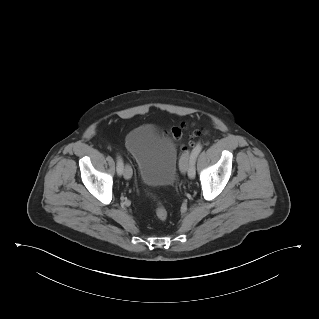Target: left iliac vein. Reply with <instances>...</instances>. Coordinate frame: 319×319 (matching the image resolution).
Returning <instances> with one entry per match:
<instances>
[{
  "label": "left iliac vein",
  "instance_id": "1",
  "mask_svg": "<svg viewBox=\"0 0 319 319\" xmlns=\"http://www.w3.org/2000/svg\"><path fill=\"white\" fill-rule=\"evenodd\" d=\"M188 160H189V153L187 152L181 157V160H180V170H181L182 173H186L187 172ZM188 176H189V178H191L189 173H188Z\"/></svg>",
  "mask_w": 319,
  "mask_h": 319
}]
</instances>
